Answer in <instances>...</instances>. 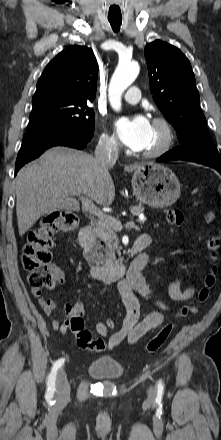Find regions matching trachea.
<instances>
[{
  "instance_id": "trachea-1",
  "label": "trachea",
  "mask_w": 221,
  "mask_h": 440,
  "mask_svg": "<svg viewBox=\"0 0 221 440\" xmlns=\"http://www.w3.org/2000/svg\"><path fill=\"white\" fill-rule=\"evenodd\" d=\"M108 20H109L111 27L114 31H118L120 29V26L122 23V18L108 17Z\"/></svg>"
}]
</instances>
